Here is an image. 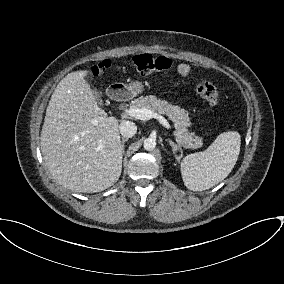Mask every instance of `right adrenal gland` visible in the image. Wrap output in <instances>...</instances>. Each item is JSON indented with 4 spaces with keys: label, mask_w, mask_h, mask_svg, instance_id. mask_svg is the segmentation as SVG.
Here are the masks:
<instances>
[{
    "label": "right adrenal gland",
    "mask_w": 284,
    "mask_h": 284,
    "mask_svg": "<svg viewBox=\"0 0 284 284\" xmlns=\"http://www.w3.org/2000/svg\"><path fill=\"white\" fill-rule=\"evenodd\" d=\"M127 140H128L127 138L126 139L122 138L121 146H122L123 154L125 152L124 149H125V143H126Z\"/></svg>",
    "instance_id": "2a0ac1e0"
}]
</instances>
